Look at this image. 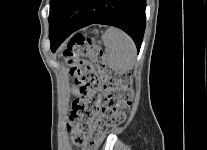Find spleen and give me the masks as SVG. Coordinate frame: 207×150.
Here are the masks:
<instances>
[{
	"label": "spleen",
	"mask_w": 207,
	"mask_h": 150,
	"mask_svg": "<svg viewBox=\"0 0 207 150\" xmlns=\"http://www.w3.org/2000/svg\"><path fill=\"white\" fill-rule=\"evenodd\" d=\"M103 43L108 49L109 67L120 72L131 70L136 62V47L133 40L122 30L111 27L103 36Z\"/></svg>",
	"instance_id": "3e777b00"
}]
</instances>
